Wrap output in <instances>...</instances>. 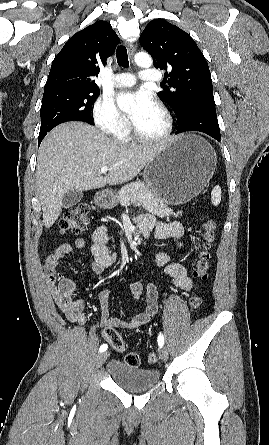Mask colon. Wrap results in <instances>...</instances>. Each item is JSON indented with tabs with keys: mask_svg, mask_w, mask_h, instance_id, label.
<instances>
[{
	"mask_svg": "<svg viewBox=\"0 0 269 445\" xmlns=\"http://www.w3.org/2000/svg\"><path fill=\"white\" fill-rule=\"evenodd\" d=\"M90 207L86 203H81L66 211L60 219L59 228L62 233L79 234L87 228L90 222ZM215 222L213 220H206L203 223V233L200 241V248L197 255V261L194 268V276L202 281H205L209 271L210 248L214 238ZM58 272L55 267L46 266L45 276L47 283L53 286L58 279ZM59 288L65 293H71L74 289V284L67 279L60 282ZM202 303L201 296L194 294L189 300L192 310H197ZM106 340L109 341L112 348L117 351H123L125 343L122 337L115 330H108L106 332ZM147 361L150 364H155L158 361L156 353L151 352L147 355ZM125 363L131 367H138L141 359L138 353L129 352L125 356Z\"/></svg>",
	"mask_w": 269,
	"mask_h": 445,
	"instance_id": "colon-1",
	"label": "colon"
}]
</instances>
